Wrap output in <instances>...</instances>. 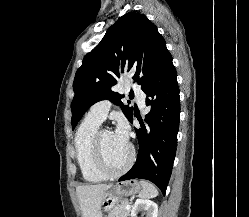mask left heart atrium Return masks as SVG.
<instances>
[{
    "label": "left heart atrium",
    "mask_w": 249,
    "mask_h": 217,
    "mask_svg": "<svg viewBox=\"0 0 249 217\" xmlns=\"http://www.w3.org/2000/svg\"><path fill=\"white\" fill-rule=\"evenodd\" d=\"M114 133L122 143L127 144V142H128V126L124 120L119 121Z\"/></svg>",
    "instance_id": "left-heart-atrium-1"
}]
</instances>
